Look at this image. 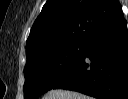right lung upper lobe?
Wrapping results in <instances>:
<instances>
[{"mask_svg":"<svg viewBox=\"0 0 128 99\" xmlns=\"http://www.w3.org/2000/svg\"><path fill=\"white\" fill-rule=\"evenodd\" d=\"M120 10L118 0H48L27 39V58L86 41L108 25Z\"/></svg>","mask_w":128,"mask_h":99,"instance_id":"cb5924a9","label":"right lung upper lobe"}]
</instances>
